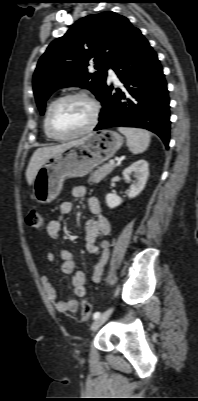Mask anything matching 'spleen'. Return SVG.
Here are the masks:
<instances>
[{"mask_svg":"<svg viewBox=\"0 0 198 401\" xmlns=\"http://www.w3.org/2000/svg\"><path fill=\"white\" fill-rule=\"evenodd\" d=\"M118 131L125 135L127 146L133 154H140L147 150L151 139L149 131L131 127H118Z\"/></svg>","mask_w":198,"mask_h":401,"instance_id":"1","label":"spleen"}]
</instances>
